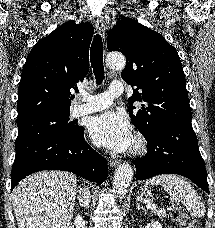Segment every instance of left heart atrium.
Returning a JSON list of instances; mask_svg holds the SVG:
<instances>
[{"label":"left heart atrium","mask_w":215,"mask_h":228,"mask_svg":"<svg viewBox=\"0 0 215 228\" xmlns=\"http://www.w3.org/2000/svg\"><path fill=\"white\" fill-rule=\"evenodd\" d=\"M92 140L116 152L126 151L132 144L133 134L127 117L118 112H105L95 116L89 125Z\"/></svg>","instance_id":"left-heart-atrium-1"}]
</instances>
